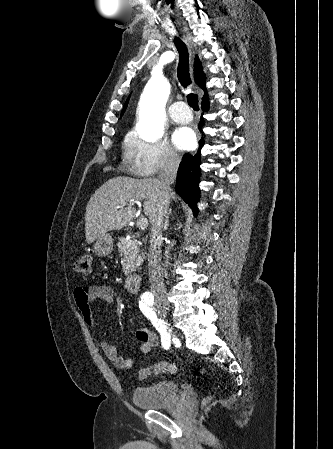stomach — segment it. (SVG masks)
<instances>
[{
    "mask_svg": "<svg viewBox=\"0 0 333 449\" xmlns=\"http://www.w3.org/2000/svg\"><path fill=\"white\" fill-rule=\"evenodd\" d=\"M95 253L99 256H107L113 250V238L110 234L98 237L93 244Z\"/></svg>",
    "mask_w": 333,
    "mask_h": 449,
    "instance_id": "obj_1",
    "label": "stomach"
}]
</instances>
